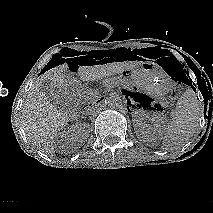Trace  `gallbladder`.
Segmentation results:
<instances>
[{
    "label": "gallbladder",
    "instance_id": "1",
    "mask_svg": "<svg viewBox=\"0 0 213 213\" xmlns=\"http://www.w3.org/2000/svg\"><path fill=\"white\" fill-rule=\"evenodd\" d=\"M42 90L48 100L57 106L60 110H68L70 102L63 89L56 87L51 81L44 80L42 83Z\"/></svg>",
    "mask_w": 213,
    "mask_h": 213
}]
</instances>
